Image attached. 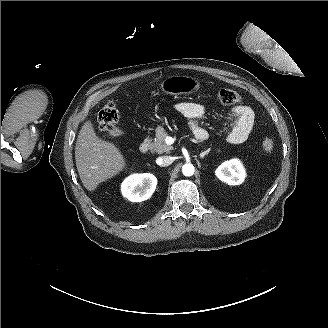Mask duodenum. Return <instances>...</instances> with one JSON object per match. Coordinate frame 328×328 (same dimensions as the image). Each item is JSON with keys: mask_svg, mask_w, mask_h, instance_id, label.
I'll use <instances>...</instances> for the list:
<instances>
[{"mask_svg": "<svg viewBox=\"0 0 328 328\" xmlns=\"http://www.w3.org/2000/svg\"><path fill=\"white\" fill-rule=\"evenodd\" d=\"M151 144V138L148 136L146 137L140 144L139 150L142 153L148 152Z\"/></svg>", "mask_w": 328, "mask_h": 328, "instance_id": "1", "label": "duodenum"}]
</instances>
